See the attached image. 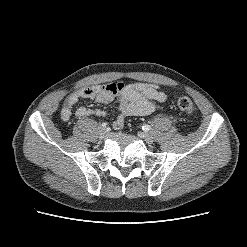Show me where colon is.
Returning <instances> with one entry per match:
<instances>
[{"instance_id":"obj_1","label":"colon","mask_w":247,"mask_h":247,"mask_svg":"<svg viewBox=\"0 0 247 247\" xmlns=\"http://www.w3.org/2000/svg\"><path fill=\"white\" fill-rule=\"evenodd\" d=\"M176 104L179 110L183 112L184 114H187V115L193 114L195 107L191 99H189L188 97L177 96Z\"/></svg>"}]
</instances>
